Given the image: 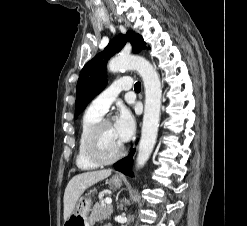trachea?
<instances>
[{
  "mask_svg": "<svg viewBox=\"0 0 247 226\" xmlns=\"http://www.w3.org/2000/svg\"><path fill=\"white\" fill-rule=\"evenodd\" d=\"M134 89H135V91H140L141 90V84H140V82H136L135 83Z\"/></svg>",
  "mask_w": 247,
  "mask_h": 226,
  "instance_id": "obj_1",
  "label": "trachea"
}]
</instances>
